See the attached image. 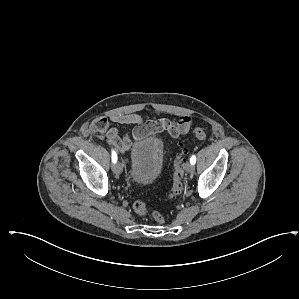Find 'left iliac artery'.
<instances>
[{
	"mask_svg": "<svg viewBox=\"0 0 299 299\" xmlns=\"http://www.w3.org/2000/svg\"><path fill=\"white\" fill-rule=\"evenodd\" d=\"M190 163L193 164V165L196 163V156L195 155L191 156Z\"/></svg>",
	"mask_w": 299,
	"mask_h": 299,
	"instance_id": "44dca946",
	"label": "left iliac artery"
}]
</instances>
